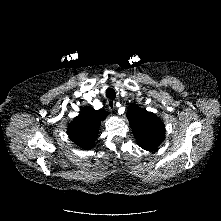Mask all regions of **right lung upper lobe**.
Wrapping results in <instances>:
<instances>
[{
	"instance_id": "right-lung-upper-lobe-1",
	"label": "right lung upper lobe",
	"mask_w": 221,
	"mask_h": 221,
	"mask_svg": "<svg viewBox=\"0 0 221 221\" xmlns=\"http://www.w3.org/2000/svg\"><path fill=\"white\" fill-rule=\"evenodd\" d=\"M108 112L86 107L69 124L67 131L70 139L83 149H91L98 137V130Z\"/></svg>"
}]
</instances>
